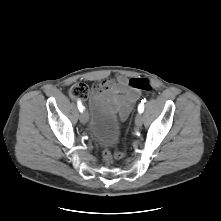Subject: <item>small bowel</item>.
<instances>
[{
    "mask_svg": "<svg viewBox=\"0 0 221 221\" xmlns=\"http://www.w3.org/2000/svg\"><path fill=\"white\" fill-rule=\"evenodd\" d=\"M96 98H105L117 112L120 120H125L140 94L129 86L128 78L117 75L112 79H105L97 83L93 88Z\"/></svg>",
    "mask_w": 221,
    "mask_h": 221,
    "instance_id": "obj_1",
    "label": "small bowel"
}]
</instances>
